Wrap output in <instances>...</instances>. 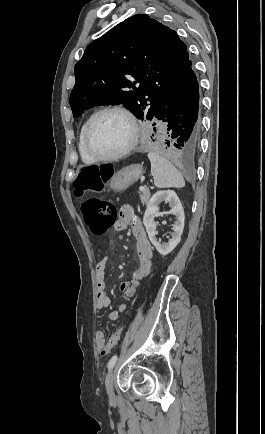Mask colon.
Instances as JSON below:
<instances>
[{
  "label": "colon",
  "mask_w": 265,
  "mask_h": 434,
  "mask_svg": "<svg viewBox=\"0 0 265 434\" xmlns=\"http://www.w3.org/2000/svg\"><path fill=\"white\" fill-rule=\"evenodd\" d=\"M111 171V164H86L85 168H79L77 179L73 182L74 193H89L90 189H99V177L104 173L102 178L107 180V173ZM78 210L90 233L95 236L103 235L117 220V211L113 203L104 198L91 197L80 202ZM120 336L121 332L118 331L105 344L99 353L101 359L104 360L111 355V348L119 341Z\"/></svg>",
  "instance_id": "obj_1"
}]
</instances>
